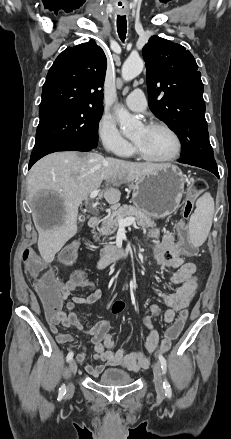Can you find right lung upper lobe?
Masks as SVG:
<instances>
[{
  "mask_svg": "<svg viewBox=\"0 0 231 439\" xmlns=\"http://www.w3.org/2000/svg\"><path fill=\"white\" fill-rule=\"evenodd\" d=\"M106 67V56L95 41L68 47L48 71L39 116L64 109L103 108Z\"/></svg>",
  "mask_w": 231,
  "mask_h": 439,
  "instance_id": "right-lung-upper-lobe-1",
  "label": "right lung upper lobe"
}]
</instances>
